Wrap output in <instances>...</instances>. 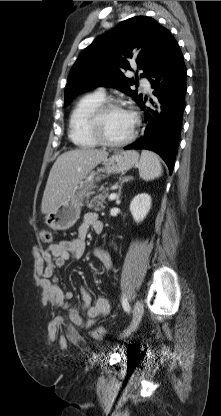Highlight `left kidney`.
<instances>
[{
	"label": "left kidney",
	"mask_w": 221,
	"mask_h": 416,
	"mask_svg": "<svg viewBox=\"0 0 221 416\" xmlns=\"http://www.w3.org/2000/svg\"><path fill=\"white\" fill-rule=\"evenodd\" d=\"M151 208V197L146 193L138 194L130 203V212L135 222L144 220Z\"/></svg>",
	"instance_id": "5707ae66"
}]
</instances>
